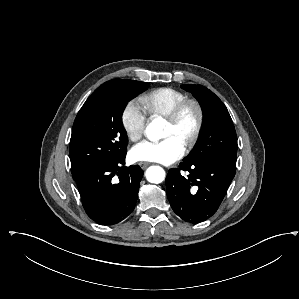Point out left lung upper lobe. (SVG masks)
<instances>
[{
    "instance_id": "1",
    "label": "left lung upper lobe",
    "mask_w": 299,
    "mask_h": 299,
    "mask_svg": "<svg viewBox=\"0 0 299 299\" xmlns=\"http://www.w3.org/2000/svg\"><path fill=\"white\" fill-rule=\"evenodd\" d=\"M182 88L194 95L204 115L202 137L184 162L217 159L235 166L237 137L225 105L212 91L202 85H182Z\"/></svg>"
}]
</instances>
